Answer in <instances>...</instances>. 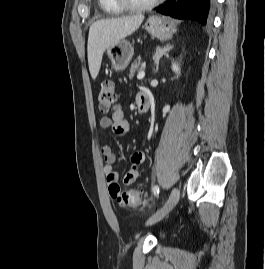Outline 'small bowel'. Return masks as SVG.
I'll return each mask as SVG.
<instances>
[{"label":"small bowel","mask_w":265,"mask_h":269,"mask_svg":"<svg viewBox=\"0 0 265 269\" xmlns=\"http://www.w3.org/2000/svg\"><path fill=\"white\" fill-rule=\"evenodd\" d=\"M138 96V95H137ZM137 102V97H136ZM102 129H111L116 135L123 136L129 131V122L125 119L124 112L120 106L116 108L111 117L103 116L99 120ZM105 160L104 173L106 181L110 187L118 186V175L113 170V164L116 161V154L110 145H103L101 148ZM146 159L145 151H136L130 157L131 166L124 177V184H133L140 174L141 165Z\"/></svg>","instance_id":"c3829d8e"}]
</instances>
